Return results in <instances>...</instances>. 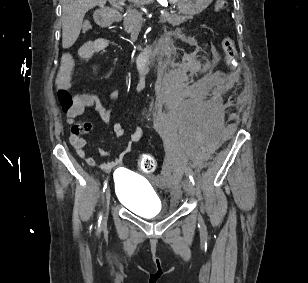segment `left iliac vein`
<instances>
[{
    "label": "left iliac vein",
    "instance_id": "4c4485c4",
    "mask_svg": "<svg viewBox=\"0 0 308 283\" xmlns=\"http://www.w3.org/2000/svg\"><path fill=\"white\" fill-rule=\"evenodd\" d=\"M185 192L189 195V196H193L195 193V187L193 185V183L189 180L186 179L183 183Z\"/></svg>",
    "mask_w": 308,
    "mask_h": 283
}]
</instances>
